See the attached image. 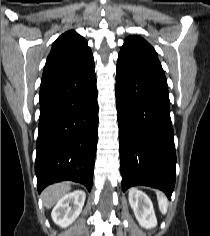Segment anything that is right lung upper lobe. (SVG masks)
I'll use <instances>...</instances> for the list:
<instances>
[{
    "label": "right lung upper lobe",
    "mask_w": 210,
    "mask_h": 236,
    "mask_svg": "<svg viewBox=\"0 0 210 236\" xmlns=\"http://www.w3.org/2000/svg\"><path fill=\"white\" fill-rule=\"evenodd\" d=\"M93 65V54L87 41L75 31H68L53 43L44 67L41 86L86 70Z\"/></svg>",
    "instance_id": "1"
}]
</instances>
